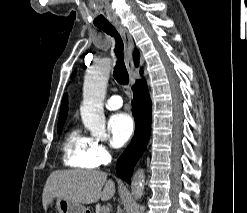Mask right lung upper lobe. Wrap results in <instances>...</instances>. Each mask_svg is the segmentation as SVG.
Listing matches in <instances>:
<instances>
[{"instance_id": "right-lung-upper-lobe-1", "label": "right lung upper lobe", "mask_w": 247, "mask_h": 213, "mask_svg": "<svg viewBox=\"0 0 247 213\" xmlns=\"http://www.w3.org/2000/svg\"><path fill=\"white\" fill-rule=\"evenodd\" d=\"M133 59L135 62V65L138 66L139 65V53L137 50H135L134 54H133ZM140 73H142V71H140ZM68 101H67V94L64 95L63 99H62V104H61V110H60V116H59V121L58 124L60 123H64L67 117V111H68Z\"/></svg>"}]
</instances>
